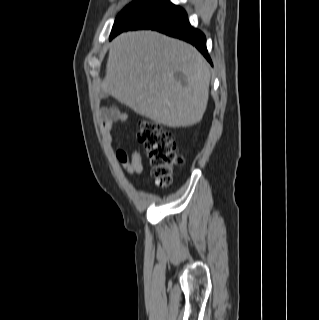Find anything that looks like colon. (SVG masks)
<instances>
[{"label":"colon","mask_w":319,"mask_h":320,"mask_svg":"<svg viewBox=\"0 0 319 320\" xmlns=\"http://www.w3.org/2000/svg\"><path fill=\"white\" fill-rule=\"evenodd\" d=\"M136 135L143 145L152 175L161 186L172 179L174 167L182 163L177 144L171 132L151 120H142L136 128Z\"/></svg>","instance_id":"5ec220e1"}]
</instances>
